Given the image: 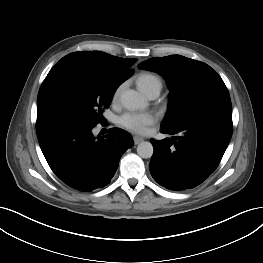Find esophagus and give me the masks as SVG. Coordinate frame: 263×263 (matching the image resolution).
<instances>
[{
	"instance_id": "obj_1",
	"label": "esophagus",
	"mask_w": 263,
	"mask_h": 263,
	"mask_svg": "<svg viewBox=\"0 0 263 263\" xmlns=\"http://www.w3.org/2000/svg\"><path fill=\"white\" fill-rule=\"evenodd\" d=\"M133 139H134V143L137 145V144H139V143H141L142 141H144V139L142 138V137H140V136H134L133 137Z\"/></svg>"
}]
</instances>
